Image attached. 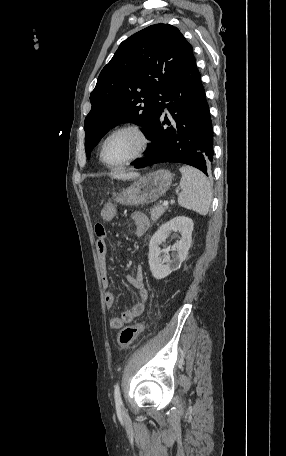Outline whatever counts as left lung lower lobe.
Instances as JSON below:
<instances>
[{"label":"left lung lower lobe","mask_w":286,"mask_h":456,"mask_svg":"<svg viewBox=\"0 0 286 456\" xmlns=\"http://www.w3.org/2000/svg\"><path fill=\"white\" fill-rule=\"evenodd\" d=\"M164 107L170 112L174 124H171L167 116L163 120ZM147 138L152 143L145 152L146 156L141 161L132 163L135 168L158 162H177L194 166L206 175L210 174L213 129L195 59L170 87Z\"/></svg>","instance_id":"0a47b994"}]
</instances>
